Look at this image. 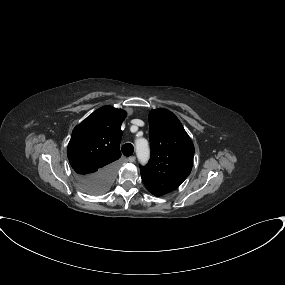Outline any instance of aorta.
Returning <instances> with one entry per match:
<instances>
[{"mask_svg": "<svg viewBox=\"0 0 285 285\" xmlns=\"http://www.w3.org/2000/svg\"><path fill=\"white\" fill-rule=\"evenodd\" d=\"M136 155L141 164L147 163L150 156L148 141L144 138H139L135 141Z\"/></svg>", "mask_w": 285, "mask_h": 285, "instance_id": "762f6f07", "label": "aorta"}]
</instances>
